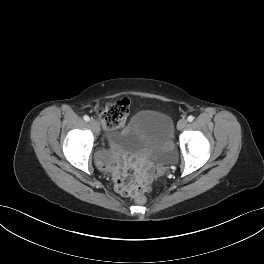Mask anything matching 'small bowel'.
<instances>
[{
  "label": "small bowel",
  "mask_w": 264,
  "mask_h": 264,
  "mask_svg": "<svg viewBox=\"0 0 264 264\" xmlns=\"http://www.w3.org/2000/svg\"><path fill=\"white\" fill-rule=\"evenodd\" d=\"M123 173V169L121 167V165H118L117 166V177ZM115 187H116V190L119 192V185L116 183L115 184ZM120 193V192H119Z\"/></svg>",
  "instance_id": "obj_1"
}]
</instances>
